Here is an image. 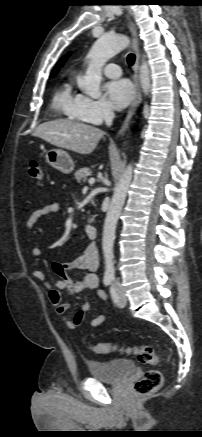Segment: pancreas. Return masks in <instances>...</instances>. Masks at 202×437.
Returning a JSON list of instances; mask_svg holds the SVG:
<instances>
[{"instance_id":"cf45deb5","label":"pancreas","mask_w":202,"mask_h":437,"mask_svg":"<svg viewBox=\"0 0 202 437\" xmlns=\"http://www.w3.org/2000/svg\"><path fill=\"white\" fill-rule=\"evenodd\" d=\"M74 175L77 182L80 183L81 181H85L88 176H91L92 171L90 168L85 167L77 170Z\"/></svg>"}]
</instances>
